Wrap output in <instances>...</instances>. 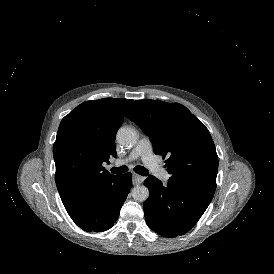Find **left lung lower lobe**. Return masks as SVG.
<instances>
[{"label": "left lung lower lobe", "instance_id": "0a47b994", "mask_svg": "<svg viewBox=\"0 0 274 274\" xmlns=\"http://www.w3.org/2000/svg\"><path fill=\"white\" fill-rule=\"evenodd\" d=\"M144 183L150 192L144 202L146 223L165 237L188 232L205 212L215 192L172 179L163 185L154 176Z\"/></svg>", "mask_w": 274, "mask_h": 274}]
</instances>
